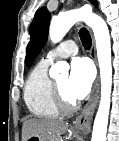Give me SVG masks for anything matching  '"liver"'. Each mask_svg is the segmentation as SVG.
Listing matches in <instances>:
<instances>
[{
    "mask_svg": "<svg viewBox=\"0 0 119 141\" xmlns=\"http://www.w3.org/2000/svg\"><path fill=\"white\" fill-rule=\"evenodd\" d=\"M68 130V123L54 119H27L22 127V141L31 135L60 136Z\"/></svg>",
    "mask_w": 119,
    "mask_h": 141,
    "instance_id": "1",
    "label": "liver"
}]
</instances>
